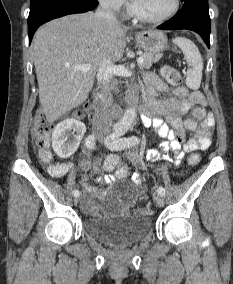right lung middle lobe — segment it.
Returning <instances> with one entry per match:
<instances>
[{"mask_svg":"<svg viewBox=\"0 0 233 284\" xmlns=\"http://www.w3.org/2000/svg\"><path fill=\"white\" fill-rule=\"evenodd\" d=\"M48 1H53V0H31L30 7L34 6L36 4L43 3V2H48Z\"/></svg>","mask_w":233,"mask_h":284,"instance_id":"1","label":"right lung middle lobe"}]
</instances>
